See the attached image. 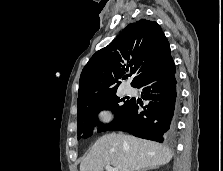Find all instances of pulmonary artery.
<instances>
[{"mask_svg":"<svg viewBox=\"0 0 223 171\" xmlns=\"http://www.w3.org/2000/svg\"><path fill=\"white\" fill-rule=\"evenodd\" d=\"M124 92H125L126 94L130 95V94H133L134 89H133L131 86L127 85V86L124 88Z\"/></svg>","mask_w":223,"mask_h":171,"instance_id":"obj_1","label":"pulmonary artery"}]
</instances>
